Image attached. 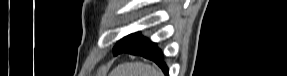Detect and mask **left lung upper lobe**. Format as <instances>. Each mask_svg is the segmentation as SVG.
I'll return each mask as SVG.
<instances>
[{
  "label": "left lung upper lobe",
  "instance_id": "obj_1",
  "mask_svg": "<svg viewBox=\"0 0 287 76\" xmlns=\"http://www.w3.org/2000/svg\"><path fill=\"white\" fill-rule=\"evenodd\" d=\"M143 37L137 34H131L129 36L124 37L122 40H120L117 45L114 47V53L117 52L122 47L128 46L130 44H133L135 42H138L142 40Z\"/></svg>",
  "mask_w": 287,
  "mask_h": 76
}]
</instances>
